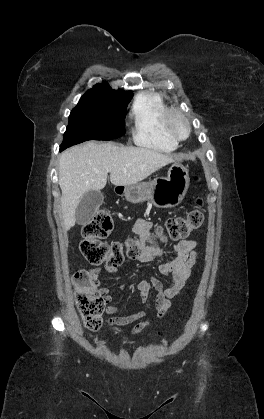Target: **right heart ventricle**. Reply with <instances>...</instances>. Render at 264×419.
Segmentation results:
<instances>
[{
  "instance_id": "e07e8e85",
  "label": "right heart ventricle",
  "mask_w": 264,
  "mask_h": 419,
  "mask_svg": "<svg viewBox=\"0 0 264 419\" xmlns=\"http://www.w3.org/2000/svg\"><path fill=\"white\" fill-rule=\"evenodd\" d=\"M167 109L159 93L144 91L136 96L130 118L132 137L137 145L161 152H172L177 148V143L164 130L163 118Z\"/></svg>"
}]
</instances>
